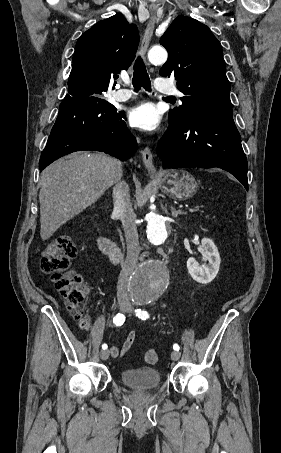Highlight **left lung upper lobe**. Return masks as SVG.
<instances>
[{"instance_id":"left-lung-upper-lobe-1","label":"left lung upper lobe","mask_w":281,"mask_h":453,"mask_svg":"<svg viewBox=\"0 0 281 453\" xmlns=\"http://www.w3.org/2000/svg\"><path fill=\"white\" fill-rule=\"evenodd\" d=\"M169 55L160 69L163 77H175L185 95L182 105L169 112V124L196 113L232 110L230 84L220 42L199 21L180 15L160 39Z\"/></svg>"}]
</instances>
